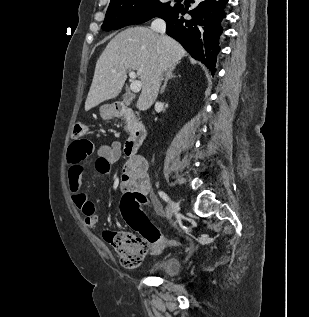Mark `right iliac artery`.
<instances>
[{
	"mask_svg": "<svg viewBox=\"0 0 309 317\" xmlns=\"http://www.w3.org/2000/svg\"><path fill=\"white\" fill-rule=\"evenodd\" d=\"M158 194L164 201H166V202L169 201V198H168V196H167V194L165 192L159 191Z\"/></svg>",
	"mask_w": 309,
	"mask_h": 317,
	"instance_id": "obj_1",
	"label": "right iliac artery"
}]
</instances>
